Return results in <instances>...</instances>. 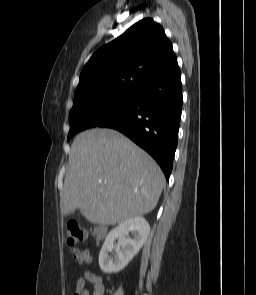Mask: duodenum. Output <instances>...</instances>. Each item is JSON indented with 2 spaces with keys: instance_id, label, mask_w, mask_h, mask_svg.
I'll list each match as a JSON object with an SVG mask.
<instances>
[{
  "instance_id": "obj_1",
  "label": "duodenum",
  "mask_w": 256,
  "mask_h": 295,
  "mask_svg": "<svg viewBox=\"0 0 256 295\" xmlns=\"http://www.w3.org/2000/svg\"><path fill=\"white\" fill-rule=\"evenodd\" d=\"M94 234H95L96 238L102 239L106 236L107 229L104 226H96L94 228Z\"/></svg>"
}]
</instances>
